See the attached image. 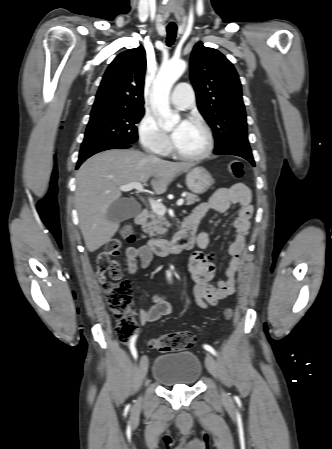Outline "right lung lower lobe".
I'll return each mask as SVG.
<instances>
[{"mask_svg": "<svg viewBox=\"0 0 332 449\" xmlns=\"http://www.w3.org/2000/svg\"><path fill=\"white\" fill-rule=\"evenodd\" d=\"M129 147H131V144L125 142H105L81 149L76 168H78L81 165V163L85 161L87 158L98 152L108 149L129 148Z\"/></svg>", "mask_w": 332, "mask_h": 449, "instance_id": "right-lung-lower-lobe-1", "label": "right lung lower lobe"}]
</instances>
